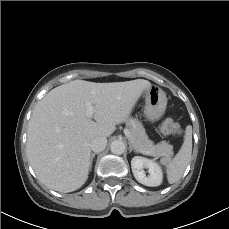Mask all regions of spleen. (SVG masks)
I'll use <instances>...</instances> for the list:
<instances>
[{
  "instance_id": "3e777b00",
  "label": "spleen",
  "mask_w": 229,
  "mask_h": 229,
  "mask_svg": "<svg viewBox=\"0 0 229 229\" xmlns=\"http://www.w3.org/2000/svg\"><path fill=\"white\" fill-rule=\"evenodd\" d=\"M192 154V129L187 126L184 142L178 153L170 161L161 160L160 163L166 167L167 179L170 184L177 182L188 166Z\"/></svg>"
}]
</instances>
